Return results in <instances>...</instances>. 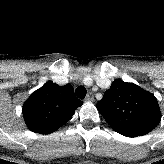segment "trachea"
Wrapping results in <instances>:
<instances>
[{
    "label": "trachea",
    "instance_id": "3493384b",
    "mask_svg": "<svg viewBox=\"0 0 164 164\" xmlns=\"http://www.w3.org/2000/svg\"><path fill=\"white\" fill-rule=\"evenodd\" d=\"M75 92H76L77 97L80 99H83L87 93L85 87H83V86L77 87Z\"/></svg>",
    "mask_w": 164,
    "mask_h": 164
}]
</instances>
